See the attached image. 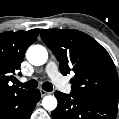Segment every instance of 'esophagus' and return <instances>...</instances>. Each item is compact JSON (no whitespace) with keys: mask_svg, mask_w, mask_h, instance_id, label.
Wrapping results in <instances>:
<instances>
[{"mask_svg":"<svg viewBox=\"0 0 119 119\" xmlns=\"http://www.w3.org/2000/svg\"><path fill=\"white\" fill-rule=\"evenodd\" d=\"M40 94H41V96L43 97V96H45V95H47V94H49V93L46 92V91L43 90V89H40Z\"/></svg>","mask_w":119,"mask_h":119,"instance_id":"1","label":"esophagus"}]
</instances>
